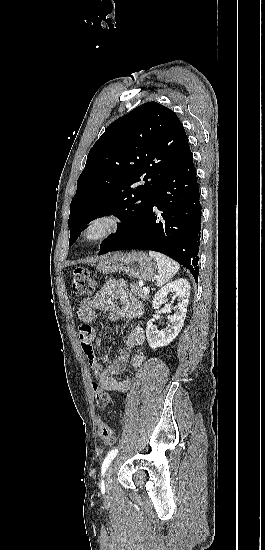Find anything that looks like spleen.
Instances as JSON below:
<instances>
[{
    "instance_id": "3e777b00",
    "label": "spleen",
    "mask_w": 265,
    "mask_h": 550,
    "mask_svg": "<svg viewBox=\"0 0 265 550\" xmlns=\"http://www.w3.org/2000/svg\"><path fill=\"white\" fill-rule=\"evenodd\" d=\"M149 255L155 259L158 265V275L156 276L157 286H162L169 282L180 269L177 262L161 253L149 251Z\"/></svg>"
}]
</instances>
